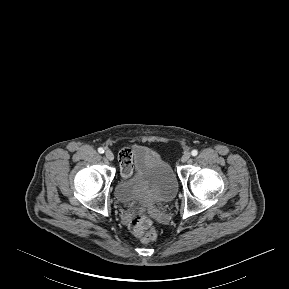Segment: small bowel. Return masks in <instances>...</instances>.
<instances>
[{
  "label": "small bowel",
  "instance_id": "obj_1",
  "mask_svg": "<svg viewBox=\"0 0 289 289\" xmlns=\"http://www.w3.org/2000/svg\"><path fill=\"white\" fill-rule=\"evenodd\" d=\"M120 161H121V175L123 178H130L134 174V165H133V150L131 148L122 149L120 152ZM128 225L130 231L141 237L144 230L147 228V225L143 224L138 215H134L128 220Z\"/></svg>",
  "mask_w": 289,
  "mask_h": 289
}]
</instances>
